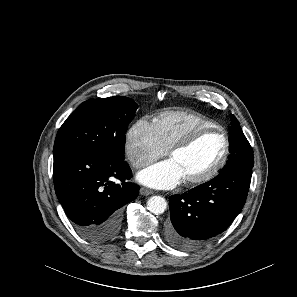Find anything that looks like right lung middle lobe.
<instances>
[{
	"label": "right lung middle lobe",
	"mask_w": 297,
	"mask_h": 297,
	"mask_svg": "<svg viewBox=\"0 0 297 297\" xmlns=\"http://www.w3.org/2000/svg\"><path fill=\"white\" fill-rule=\"evenodd\" d=\"M137 108L124 96L83 102L58 130L54 152L89 150L123 160L125 133Z\"/></svg>",
	"instance_id": "dd1d6c3e"
}]
</instances>
